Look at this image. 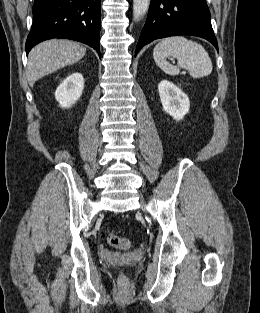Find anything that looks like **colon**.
<instances>
[{"instance_id": "5ec220e1", "label": "colon", "mask_w": 260, "mask_h": 313, "mask_svg": "<svg viewBox=\"0 0 260 313\" xmlns=\"http://www.w3.org/2000/svg\"><path fill=\"white\" fill-rule=\"evenodd\" d=\"M106 240L111 246L116 248L126 249L129 247L128 239L120 237L114 233H108L106 235ZM120 282L125 283V277L123 275L120 276Z\"/></svg>"}]
</instances>
